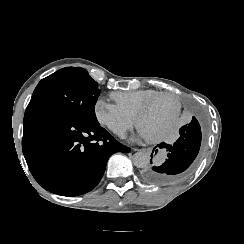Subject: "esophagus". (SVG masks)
I'll return each instance as SVG.
<instances>
[{
  "instance_id": "obj_1",
  "label": "esophagus",
  "mask_w": 244,
  "mask_h": 244,
  "mask_svg": "<svg viewBox=\"0 0 244 244\" xmlns=\"http://www.w3.org/2000/svg\"><path fill=\"white\" fill-rule=\"evenodd\" d=\"M134 151H140V152H145V153H150L151 148H134Z\"/></svg>"
}]
</instances>
